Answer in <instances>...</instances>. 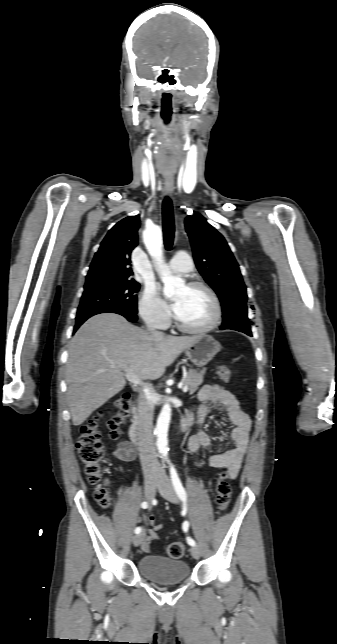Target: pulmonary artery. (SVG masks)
Listing matches in <instances>:
<instances>
[{
	"label": "pulmonary artery",
	"mask_w": 337,
	"mask_h": 644,
	"mask_svg": "<svg viewBox=\"0 0 337 644\" xmlns=\"http://www.w3.org/2000/svg\"><path fill=\"white\" fill-rule=\"evenodd\" d=\"M169 267L176 273H186L192 270L193 264L187 253L178 252L170 260Z\"/></svg>",
	"instance_id": "pulmonary-artery-1"
}]
</instances>
